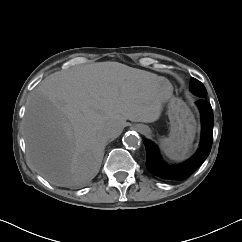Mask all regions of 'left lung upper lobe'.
Listing matches in <instances>:
<instances>
[{"mask_svg":"<svg viewBox=\"0 0 242 242\" xmlns=\"http://www.w3.org/2000/svg\"><path fill=\"white\" fill-rule=\"evenodd\" d=\"M190 89H191V91L195 95H197V96H199L201 98H205V99L207 98V96H206L207 91H206L205 87L197 79L191 78V80H190Z\"/></svg>","mask_w":242,"mask_h":242,"instance_id":"obj_1","label":"left lung upper lobe"}]
</instances>
